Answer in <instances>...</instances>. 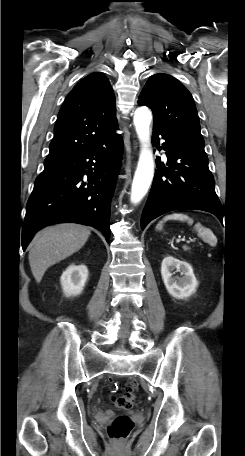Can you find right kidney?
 Listing matches in <instances>:
<instances>
[{"instance_id":"obj_1","label":"right kidney","mask_w":245,"mask_h":456,"mask_svg":"<svg viewBox=\"0 0 245 456\" xmlns=\"http://www.w3.org/2000/svg\"><path fill=\"white\" fill-rule=\"evenodd\" d=\"M88 278V269L85 265H70L62 274L60 282L67 297L82 293Z\"/></svg>"}]
</instances>
